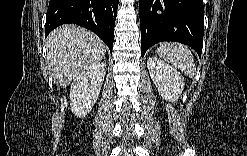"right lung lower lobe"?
<instances>
[{"mask_svg":"<svg viewBox=\"0 0 247 156\" xmlns=\"http://www.w3.org/2000/svg\"><path fill=\"white\" fill-rule=\"evenodd\" d=\"M119 0H50L45 36L54 28L74 23L97 34L112 53Z\"/></svg>","mask_w":247,"mask_h":156,"instance_id":"1","label":"right lung lower lobe"}]
</instances>
